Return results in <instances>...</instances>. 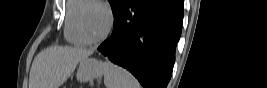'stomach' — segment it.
<instances>
[{
	"label": "stomach",
	"instance_id": "1",
	"mask_svg": "<svg viewBox=\"0 0 267 88\" xmlns=\"http://www.w3.org/2000/svg\"><path fill=\"white\" fill-rule=\"evenodd\" d=\"M102 73L103 63L94 58H87L80 61L76 76L79 82H87L100 77Z\"/></svg>",
	"mask_w": 267,
	"mask_h": 88
}]
</instances>
